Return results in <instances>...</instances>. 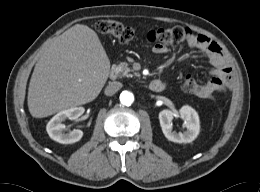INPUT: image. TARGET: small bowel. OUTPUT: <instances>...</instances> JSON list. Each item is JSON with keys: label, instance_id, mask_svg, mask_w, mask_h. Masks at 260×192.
Here are the masks:
<instances>
[{"label": "small bowel", "instance_id": "small-bowel-1", "mask_svg": "<svg viewBox=\"0 0 260 192\" xmlns=\"http://www.w3.org/2000/svg\"><path fill=\"white\" fill-rule=\"evenodd\" d=\"M188 44L191 48L204 53L213 66L209 80L199 86V91L195 95L201 98H210L216 92H225L230 89L234 83L232 69L229 67L219 45L201 34L192 35ZM152 51L156 54H164L168 49L164 45H154Z\"/></svg>", "mask_w": 260, "mask_h": 192}]
</instances>
